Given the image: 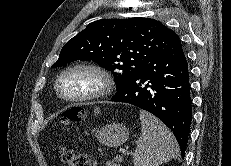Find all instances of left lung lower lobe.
<instances>
[{"label":"left lung lower lobe","mask_w":231,"mask_h":166,"mask_svg":"<svg viewBox=\"0 0 231 166\" xmlns=\"http://www.w3.org/2000/svg\"><path fill=\"white\" fill-rule=\"evenodd\" d=\"M111 101L135 105L158 117L174 133L184 157L192 111L188 63L176 33Z\"/></svg>","instance_id":"1"}]
</instances>
